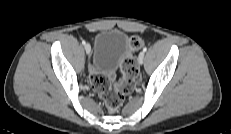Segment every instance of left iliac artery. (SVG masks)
<instances>
[{
  "label": "left iliac artery",
  "instance_id": "1",
  "mask_svg": "<svg viewBox=\"0 0 231 134\" xmlns=\"http://www.w3.org/2000/svg\"><path fill=\"white\" fill-rule=\"evenodd\" d=\"M146 51H147V47H144V48H143V52H146Z\"/></svg>",
  "mask_w": 231,
  "mask_h": 134
}]
</instances>
